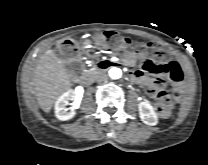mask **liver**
Segmentation results:
<instances>
[{
  "mask_svg": "<svg viewBox=\"0 0 208 165\" xmlns=\"http://www.w3.org/2000/svg\"><path fill=\"white\" fill-rule=\"evenodd\" d=\"M37 102L41 109L49 113L60 95L71 86L70 75L63 61L52 49L40 57L33 76Z\"/></svg>",
  "mask_w": 208,
  "mask_h": 165,
  "instance_id": "obj_1",
  "label": "liver"
}]
</instances>
